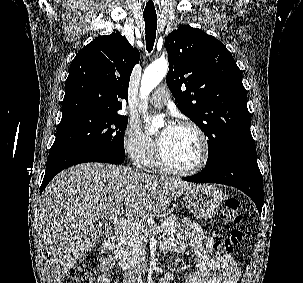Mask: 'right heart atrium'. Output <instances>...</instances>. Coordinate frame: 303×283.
Here are the masks:
<instances>
[{
    "label": "right heart atrium",
    "mask_w": 303,
    "mask_h": 283,
    "mask_svg": "<svg viewBox=\"0 0 303 283\" xmlns=\"http://www.w3.org/2000/svg\"><path fill=\"white\" fill-rule=\"evenodd\" d=\"M123 145L126 154L138 166L148 165L156 152L153 141L137 123H129L124 132Z\"/></svg>",
    "instance_id": "d8ad5b80"
}]
</instances>
